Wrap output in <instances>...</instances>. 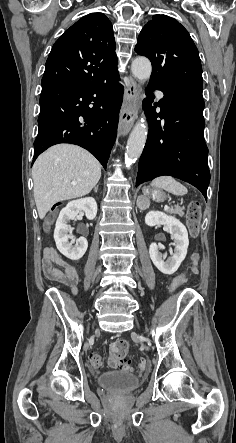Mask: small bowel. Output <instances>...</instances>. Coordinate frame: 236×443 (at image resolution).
<instances>
[{
	"instance_id": "c3829d8e",
	"label": "small bowel",
	"mask_w": 236,
	"mask_h": 443,
	"mask_svg": "<svg viewBox=\"0 0 236 443\" xmlns=\"http://www.w3.org/2000/svg\"><path fill=\"white\" fill-rule=\"evenodd\" d=\"M43 270L48 280L74 289L76 269L52 247L44 250Z\"/></svg>"
}]
</instances>
